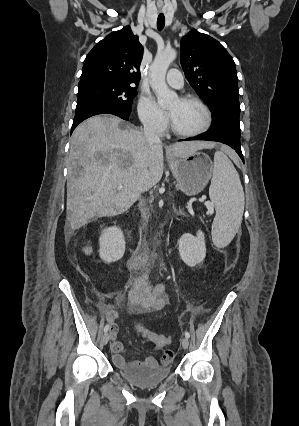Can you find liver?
Listing matches in <instances>:
<instances>
[{"mask_svg":"<svg viewBox=\"0 0 299 426\" xmlns=\"http://www.w3.org/2000/svg\"><path fill=\"white\" fill-rule=\"evenodd\" d=\"M214 143H175L170 151L186 157ZM161 143L149 145L144 134L114 116H94L73 132L68 157L67 221L77 230L95 216H115L128 210L163 175ZM81 171L75 175L74 169ZM121 184V190L116 185Z\"/></svg>","mask_w":299,"mask_h":426,"instance_id":"1","label":"liver"}]
</instances>
